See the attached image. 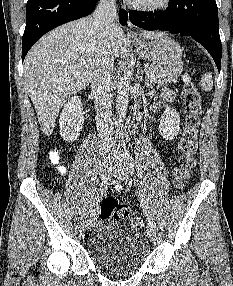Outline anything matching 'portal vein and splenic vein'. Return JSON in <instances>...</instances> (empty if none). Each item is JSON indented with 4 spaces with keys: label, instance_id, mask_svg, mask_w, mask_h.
<instances>
[{
    "label": "portal vein and splenic vein",
    "instance_id": "18ae733b",
    "mask_svg": "<svg viewBox=\"0 0 233 286\" xmlns=\"http://www.w3.org/2000/svg\"><path fill=\"white\" fill-rule=\"evenodd\" d=\"M145 73H146L147 75L151 76V77L153 76V74L150 73L149 70H145Z\"/></svg>",
    "mask_w": 233,
    "mask_h": 286
}]
</instances>
